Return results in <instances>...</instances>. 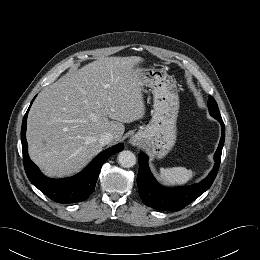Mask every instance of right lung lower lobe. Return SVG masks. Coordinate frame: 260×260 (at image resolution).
<instances>
[{"label": "right lung lower lobe", "mask_w": 260, "mask_h": 260, "mask_svg": "<svg viewBox=\"0 0 260 260\" xmlns=\"http://www.w3.org/2000/svg\"><path fill=\"white\" fill-rule=\"evenodd\" d=\"M31 106V105H30ZM30 108V107H29ZM29 111V109H28ZM26 112L21 128L22 151L24 158V168L26 174L33 185L55 202L68 204L86 200L93 192L97 182L101 167L104 162L114 153L124 149L119 143L101 152L81 173L66 179H50L45 177L38 167L30 160L27 152L26 141Z\"/></svg>", "instance_id": "98d812e1"}]
</instances>
